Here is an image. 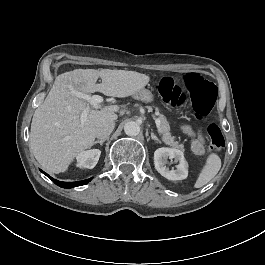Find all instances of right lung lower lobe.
I'll use <instances>...</instances> for the list:
<instances>
[{
    "label": "right lung lower lobe",
    "mask_w": 265,
    "mask_h": 265,
    "mask_svg": "<svg viewBox=\"0 0 265 265\" xmlns=\"http://www.w3.org/2000/svg\"><path fill=\"white\" fill-rule=\"evenodd\" d=\"M41 172H43V171H41ZM43 173L46 176H48L51 180H53L55 184H57L58 186H60L62 188H72V187H76V186L87 184L89 181H91V179H87V180L78 181V182H61V181L53 179L52 177H50L45 172H43Z\"/></svg>",
    "instance_id": "98d812e1"
}]
</instances>
